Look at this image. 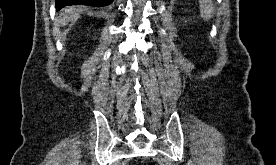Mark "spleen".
<instances>
[{"label":"spleen","mask_w":276,"mask_h":165,"mask_svg":"<svg viewBox=\"0 0 276 165\" xmlns=\"http://www.w3.org/2000/svg\"><path fill=\"white\" fill-rule=\"evenodd\" d=\"M201 17L208 20L213 16L214 5L212 0H199Z\"/></svg>","instance_id":"obj_1"}]
</instances>
